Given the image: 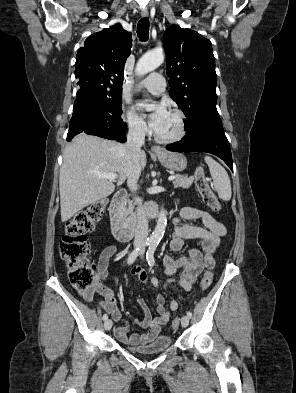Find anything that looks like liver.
Instances as JSON below:
<instances>
[{
    "label": "liver",
    "instance_id": "liver-1",
    "mask_svg": "<svg viewBox=\"0 0 296 393\" xmlns=\"http://www.w3.org/2000/svg\"><path fill=\"white\" fill-rule=\"evenodd\" d=\"M146 163V153L141 151V171ZM96 172L116 173L117 186L128 178L129 168L122 153V144L81 133L63 152L59 176L62 222L114 192L115 185L111 180L98 177Z\"/></svg>",
    "mask_w": 296,
    "mask_h": 393
}]
</instances>
